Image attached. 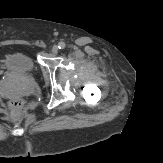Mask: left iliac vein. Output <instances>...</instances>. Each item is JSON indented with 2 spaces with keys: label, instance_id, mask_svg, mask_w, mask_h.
<instances>
[{
  "label": "left iliac vein",
  "instance_id": "1",
  "mask_svg": "<svg viewBox=\"0 0 163 163\" xmlns=\"http://www.w3.org/2000/svg\"><path fill=\"white\" fill-rule=\"evenodd\" d=\"M58 46H56V45H54L53 47H52V53H54V54H56L57 52H58Z\"/></svg>",
  "mask_w": 163,
  "mask_h": 163
}]
</instances>
